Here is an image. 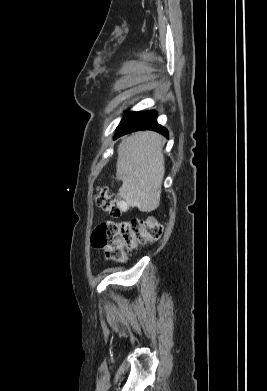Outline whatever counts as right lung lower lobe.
Instances as JSON below:
<instances>
[{
  "label": "right lung lower lobe",
  "instance_id": "right-lung-lower-lobe-1",
  "mask_svg": "<svg viewBox=\"0 0 267 391\" xmlns=\"http://www.w3.org/2000/svg\"><path fill=\"white\" fill-rule=\"evenodd\" d=\"M156 111L130 112L120 122L115 132V139L119 136L138 131L154 130L164 136H168V131L156 121Z\"/></svg>",
  "mask_w": 267,
  "mask_h": 391
}]
</instances>
